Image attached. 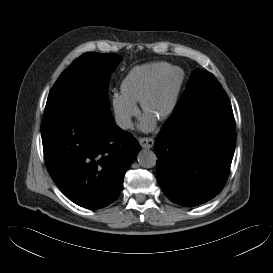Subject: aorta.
<instances>
[{
    "label": "aorta",
    "mask_w": 273,
    "mask_h": 273,
    "mask_svg": "<svg viewBox=\"0 0 273 273\" xmlns=\"http://www.w3.org/2000/svg\"><path fill=\"white\" fill-rule=\"evenodd\" d=\"M137 160L143 168H152L156 165V154L148 149L141 150L137 155Z\"/></svg>",
    "instance_id": "1"
}]
</instances>
